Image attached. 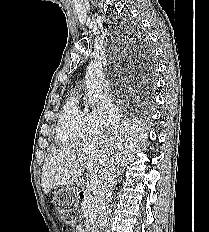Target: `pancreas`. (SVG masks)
<instances>
[{
	"mask_svg": "<svg viewBox=\"0 0 209 232\" xmlns=\"http://www.w3.org/2000/svg\"><path fill=\"white\" fill-rule=\"evenodd\" d=\"M81 207L84 211V217L86 219V228L88 231H90L94 227V222L97 215L98 201L96 197L87 195L86 200L81 203Z\"/></svg>",
	"mask_w": 209,
	"mask_h": 232,
	"instance_id": "obj_1",
	"label": "pancreas"
}]
</instances>
